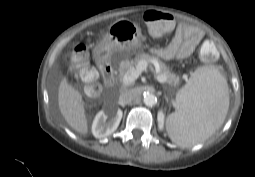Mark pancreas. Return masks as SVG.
Wrapping results in <instances>:
<instances>
[{
	"mask_svg": "<svg viewBox=\"0 0 255 177\" xmlns=\"http://www.w3.org/2000/svg\"><path fill=\"white\" fill-rule=\"evenodd\" d=\"M144 60L147 63H152L153 60H155L159 65V73L158 76H164L166 78V81L168 84L176 86L179 83V78L172 73L169 68L160 60H158L156 57L151 56L146 53H139L136 55L134 59H125L120 62L119 64V80L122 81L123 76L132 68H134L139 61Z\"/></svg>",
	"mask_w": 255,
	"mask_h": 177,
	"instance_id": "obj_1",
	"label": "pancreas"
}]
</instances>
